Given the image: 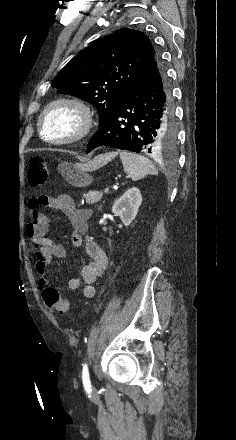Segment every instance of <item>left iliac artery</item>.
Segmentation results:
<instances>
[{"label": "left iliac artery", "mask_w": 236, "mask_h": 440, "mask_svg": "<svg viewBox=\"0 0 236 440\" xmlns=\"http://www.w3.org/2000/svg\"><path fill=\"white\" fill-rule=\"evenodd\" d=\"M82 381H83L84 388L86 390H91V382H90V377H89V371H88L87 364H84V366H83Z\"/></svg>", "instance_id": "obj_1"}]
</instances>
